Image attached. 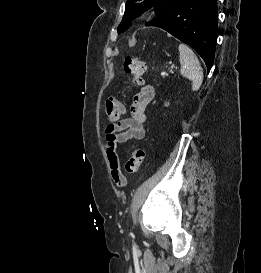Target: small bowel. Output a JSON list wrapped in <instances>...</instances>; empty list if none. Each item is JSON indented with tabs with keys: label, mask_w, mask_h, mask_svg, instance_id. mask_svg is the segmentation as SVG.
<instances>
[{
	"label": "small bowel",
	"mask_w": 261,
	"mask_h": 273,
	"mask_svg": "<svg viewBox=\"0 0 261 273\" xmlns=\"http://www.w3.org/2000/svg\"><path fill=\"white\" fill-rule=\"evenodd\" d=\"M155 97V88L152 85H145L139 93L134 96L130 108L131 117L110 123L105 129V153L110 165V173L113 182L119 186V179L127 180L121 170L117 145L129 140H141L145 137L143 123L146 120V108Z\"/></svg>",
	"instance_id": "small-bowel-1"
}]
</instances>
